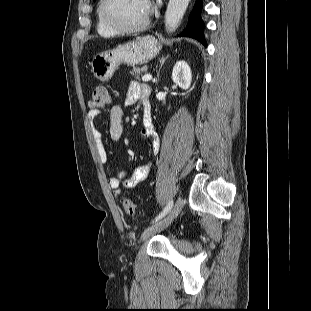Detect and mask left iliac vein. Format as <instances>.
<instances>
[{
	"instance_id": "4c4485c4",
	"label": "left iliac vein",
	"mask_w": 311,
	"mask_h": 311,
	"mask_svg": "<svg viewBox=\"0 0 311 311\" xmlns=\"http://www.w3.org/2000/svg\"><path fill=\"white\" fill-rule=\"evenodd\" d=\"M184 202L182 197H179L168 215L164 217L162 220L156 222L152 226L148 227L142 234L141 241H146L155 233L167 228L171 222L179 215L183 208Z\"/></svg>"
}]
</instances>
